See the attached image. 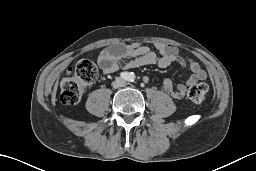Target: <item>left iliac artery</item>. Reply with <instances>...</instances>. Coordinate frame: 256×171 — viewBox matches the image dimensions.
<instances>
[{"mask_svg": "<svg viewBox=\"0 0 256 171\" xmlns=\"http://www.w3.org/2000/svg\"><path fill=\"white\" fill-rule=\"evenodd\" d=\"M134 79H135V75H134L133 73H131V74L129 75V80H130V81H134Z\"/></svg>", "mask_w": 256, "mask_h": 171, "instance_id": "44dca946", "label": "left iliac artery"}]
</instances>
